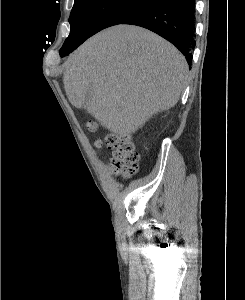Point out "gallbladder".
<instances>
[{"instance_id": "obj_1", "label": "gallbladder", "mask_w": 245, "mask_h": 300, "mask_svg": "<svg viewBox=\"0 0 245 300\" xmlns=\"http://www.w3.org/2000/svg\"><path fill=\"white\" fill-rule=\"evenodd\" d=\"M90 96H91V92L89 91V92L87 93V95H86V98L89 99Z\"/></svg>"}]
</instances>
